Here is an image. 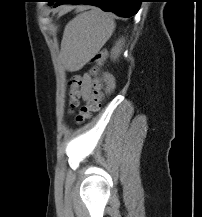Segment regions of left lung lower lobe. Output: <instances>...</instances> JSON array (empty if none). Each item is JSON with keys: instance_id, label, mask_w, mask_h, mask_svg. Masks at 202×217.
Listing matches in <instances>:
<instances>
[{"instance_id": "obj_1", "label": "left lung lower lobe", "mask_w": 202, "mask_h": 217, "mask_svg": "<svg viewBox=\"0 0 202 217\" xmlns=\"http://www.w3.org/2000/svg\"><path fill=\"white\" fill-rule=\"evenodd\" d=\"M53 2H56L54 7L65 3L95 5L104 11L114 12L121 17H131L138 12L142 0H50L49 4Z\"/></svg>"}]
</instances>
